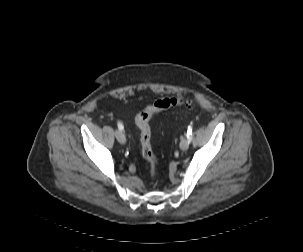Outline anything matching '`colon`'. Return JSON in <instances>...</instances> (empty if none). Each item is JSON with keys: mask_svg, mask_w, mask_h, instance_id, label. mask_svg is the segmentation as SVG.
<instances>
[{"mask_svg": "<svg viewBox=\"0 0 303 252\" xmlns=\"http://www.w3.org/2000/svg\"><path fill=\"white\" fill-rule=\"evenodd\" d=\"M180 105H185L188 108H191L193 106V102L190 99L180 96L162 98L141 111L136 117V125L140 133L142 155L150 163V171L153 176L158 172L159 162L151 149V128L149 121L155 113Z\"/></svg>", "mask_w": 303, "mask_h": 252, "instance_id": "obj_1", "label": "colon"}]
</instances>
